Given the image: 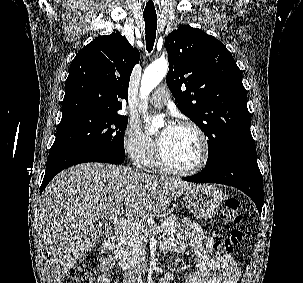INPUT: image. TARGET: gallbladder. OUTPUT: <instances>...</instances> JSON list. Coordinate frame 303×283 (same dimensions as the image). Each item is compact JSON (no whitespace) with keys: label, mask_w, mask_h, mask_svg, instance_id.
Returning a JSON list of instances; mask_svg holds the SVG:
<instances>
[{"label":"gallbladder","mask_w":303,"mask_h":283,"mask_svg":"<svg viewBox=\"0 0 303 283\" xmlns=\"http://www.w3.org/2000/svg\"><path fill=\"white\" fill-rule=\"evenodd\" d=\"M97 232L101 235L102 234V229L98 228Z\"/></svg>","instance_id":"bac80fb5"}]
</instances>
